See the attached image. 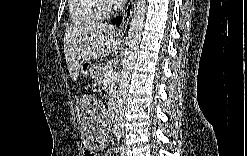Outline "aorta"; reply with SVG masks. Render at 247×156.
<instances>
[{"mask_svg": "<svg viewBox=\"0 0 247 156\" xmlns=\"http://www.w3.org/2000/svg\"><path fill=\"white\" fill-rule=\"evenodd\" d=\"M145 0H136L132 20L128 33V46L122 61V70L117 90V101L115 107V120L117 124H122L125 113L126 95L130 83V74L137 58V49L141 40L145 19Z\"/></svg>", "mask_w": 247, "mask_h": 156, "instance_id": "aorta-1", "label": "aorta"}]
</instances>
